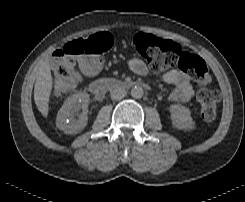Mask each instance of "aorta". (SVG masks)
Segmentation results:
<instances>
[{"label":"aorta","mask_w":245,"mask_h":202,"mask_svg":"<svg viewBox=\"0 0 245 202\" xmlns=\"http://www.w3.org/2000/svg\"><path fill=\"white\" fill-rule=\"evenodd\" d=\"M143 88L140 86H135L131 89V96L135 99H140L143 96Z\"/></svg>","instance_id":"aorta-1"}]
</instances>
